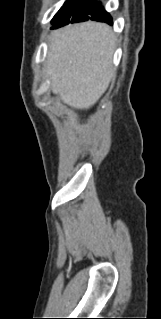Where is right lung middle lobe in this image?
<instances>
[{
  "label": "right lung middle lobe",
  "instance_id": "right-lung-middle-lobe-1",
  "mask_svg": "<svg viewBox=\"0 0 161 319\" xmlns=\"http://www.w3.org/2000/svg\"><path fill=\"white\" fill-rule=\"evenodd\" d=\"M101 3L95 0H67L52 19L53 27L81 22L97 11Z\"/></svg>",
  "mask_w": 161,
  "mask_h": 319
}]
</instances>
